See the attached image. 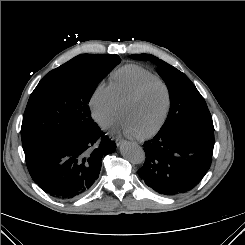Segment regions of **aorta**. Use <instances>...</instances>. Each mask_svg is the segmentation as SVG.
<instances>
[{
    "label": "aorta",
    "mask_w": 245,
    "mask_h": 245,
    "mask_svg": "<svg viewBox=\"0 0 245 245\" xmlns=\"http://www.w3.org/2000/svg\"><path fill=\"white\" fill-rule=\"evenodd\" d=\"M120 151L122 156L132 164H141L146 158L144 150L136 143L124 142Z\"/></svg>",
    "instance_id": "obj_1"
}]
</instances>
